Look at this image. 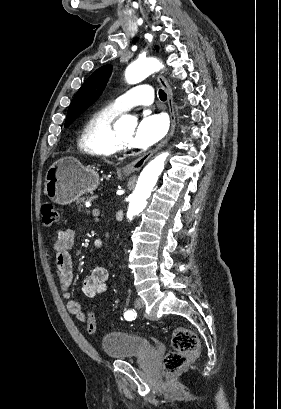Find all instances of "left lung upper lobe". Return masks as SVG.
I'll use <instances>...</instances> for the list:
<instances>
[{
  "label": "left lung upper lobe",
  "instance_id": "left-lung-upper-lobe-1",
  "mask_svg": "<svg viewBox=\"0 0 281 409\" xmlns=\"http://www.w3.org/2000/svg\"><path fill=\"white\" fill-rule=\"evenodd\" d=\"M111 71V65L102 66L84 82L69 106L65 127H68L99 98L106 86Z\"/></svg>",
  "mask_w": 281,
  "mask_h": 409
}]
</instances>
